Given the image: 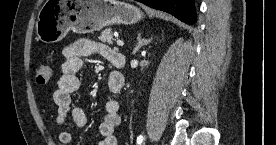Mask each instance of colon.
Returning <instances> with one entry per match:
<instances>
[{
	"instance_id": "1",
	"label": "colon",
	"mask_w": 276,
	"mask_h": 145,
	"mask_svg": "<svg viewBox=\"0 0 276 145\" xmlns=\"http://www.w3.org/2000/svg\"><path fill=\"white\" fill-rule=\"evenodd\" d=\"M52 71L49 65L45 63L36 66L35 80L37 84L45 85L51 80Z\"/></svg>"
}]
</instances>
